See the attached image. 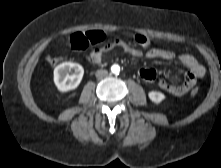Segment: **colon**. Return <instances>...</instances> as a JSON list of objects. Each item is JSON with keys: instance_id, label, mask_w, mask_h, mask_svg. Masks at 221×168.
Returning a JSON list of instances; mask_svg holds the SVG:
<instances>
[{"instance_id": "obj_1", "label": "colon", "mask_w": 221, "mask_h": 168, "mask_svg": "<svg viewBox=\"0 0 221 168\" xmlns=\"http://www.w3.org/2000/svg\"><path fill=\"white\" fill-rule=\"evenodd\" d=\"M105 39V35L101 31H89V32H78L70 37V47L73 50L82 51L87 49L90 45H96L101 43ZM135 42L140 46H147L149 39L147 36L137 34L134 37ZM59 58L54 56H48L47 62L54 66L59 63ZM199 92L197 87L192 88L191 95L195 96Z\"/></svg>"}]
</instances>
